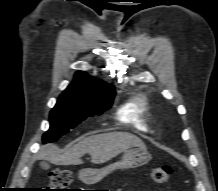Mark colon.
Returning <instances> with one entry per match:
<instances>
[{"label":"colon","instance_id":"1","mask_svg":"<svg viewBox=\"0 0 218 191\" xmlns=\"http://www.w3.org/2000/svg\"><path fill=\"white\" fill-rule=\"evenodd\" d=\"M170 166H159L152 170V179L158 184L169 182L172 175ZM72 172L70 170H54L49 176V191H71L68 186L72 182Z\"/></svg>","mask_w":218,"mask_h":191}]
</instances>
